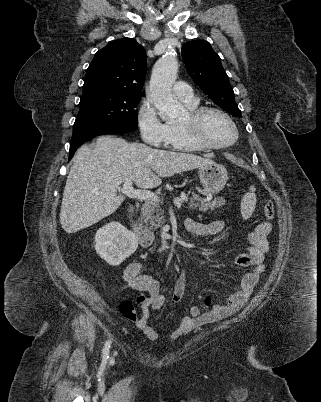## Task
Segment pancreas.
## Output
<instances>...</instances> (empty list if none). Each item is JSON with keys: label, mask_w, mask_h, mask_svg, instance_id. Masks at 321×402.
Masks as SVG:
<instances>
[{"label": "pancreas", "mask_w": 321, "mask_h": 402, "mask_svg": "<svg viewBox=\"0 0 321 402\" xmlns=\"http://www.w3.org/2000/svg\"><path fill=\"white\" fill-rule=\"evenodd\" d=\"M223 205H225V199L222 197L208 201L199 196H193L189 202L190 209H198L201 212H206L209 209L214 210ZM163 214L164 211L161 209L159 201L147 200L141 209L142 220L151 230L160 228L165 222Z\"/></svg>", "instance_id": "1"}]
</instances>
